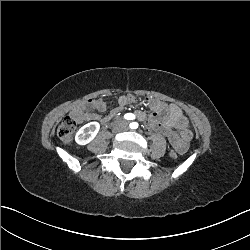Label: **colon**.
I'll return each mask as SVG.
<instances>
[{"mask_svg":"<svg viewBox=\"0 0 250 250\" xmlns=\"http://www.w3.org/2000/svg\"><path fill=\"white\" fill-rule=\"evenodd\" d=\"M130 98H136V93H130ZM77 128V120L73 116H66L59 124L57 128V136L60 141L64 143H69L73 140L74 134ZM176 149L170 151V159L176 160L180 153Z\"/></svg>","mask_w":250,"mask_h":250,"instance_id":"1","label":"colon"}]
</instances>
